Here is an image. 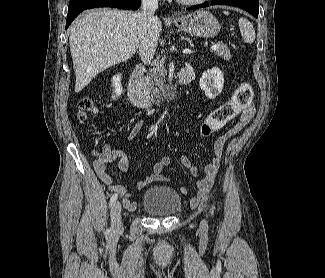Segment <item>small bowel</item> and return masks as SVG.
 <instances>
[{
	"mask_svg": "<svg viewBox=\"0 0 325 278\" xmlns=\"http://www.w3.org/2000/svg\"><path fill=\"white\" fill-rule=\"evenodd\" d=\"M255 109L253 105H249L242 113L240 120L235 124L233 129L226 134L218 138L213 147V156L210 163L205 166V175L200 178L197 182V197H202L208 194L213 187L214 180L223 156L224 146L228 138L235 132L244 128L252 119ZM144 124V119L139 118L127 136V141H132L137 134L140 132ZM113 161H118L119 170L122 173H126L129 169V160L126 154L121 150L111 149L108 145L103 146L102 153L100 156L94 160V169L97 172L100 179L107 185V187L119 194L123 200L124 206L132 209L135 207V204L130 201L132 193L122 186L115 183L114 178L107 173L106 167L109 163ZM172 160L169 156H162L159 158L149 170V174L142 180L136 183V189L142 190L153 182H167L169 177L163 173L164 169L171 164ZM181 164L189 170L193 176L199 174V168L192 164L191 160L187 156L180 157ZM183 194H187L188 191L186 188H181Z\"/></svg>",
	"mask_w": 325,
	"mask_h": 278,
	"instance_id": "obj_1",
	"label": "small bowel"
}]
</instances>
